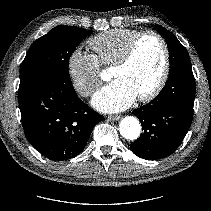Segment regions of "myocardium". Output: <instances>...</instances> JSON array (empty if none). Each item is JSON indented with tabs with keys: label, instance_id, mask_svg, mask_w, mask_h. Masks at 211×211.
<instances>
[{
	"label": "myocardium",
	"instance_id": "1",
	"mask_svg": "<svg viewBox=\"0 0 211 211\" xmlns=\"http://www.w3.org/2000/svg\"><path fill=\"white\" fill-rule=\"evenodd\" d=\"M148 36H151L157 39L162 46L163 67H162L161 75L157 83L155 84V86L146 94H143L137 97V99L140 102H149L155 99L163 90L168 80L169 72H170V53H169L168 44L166 40L164 39V37L158 32L153 31V30H146V31L140 32L130 42L124 54L112 65V70H118V69H122L126 67L133 60L135 53L137 51L138 45L141 42V40Z\"/></svg>",
	"mask_w": 211,
	"mask_h": 211
}]
</instances>
